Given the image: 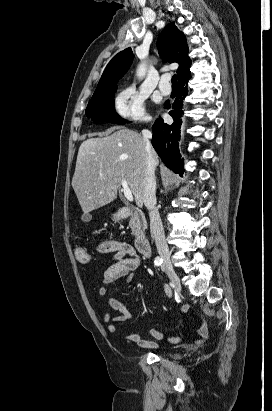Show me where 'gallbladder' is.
<instances>
[{"instance_id": "gallbladder-1", "label": "gallbladder", "mask_w": 272, "mask_h": 411, "mask_svg": "<svg viewBox=\"0 0 272 411\" xmlns=\"http://www.w3.org/2000/svg\"><path fill=\"white\" fill-rule=\"evenodd\" d=\"M83 219H84L85 221H88L90 218H89L88 215H85V216L83 217Z\"/></svg>"}]
</instances>
